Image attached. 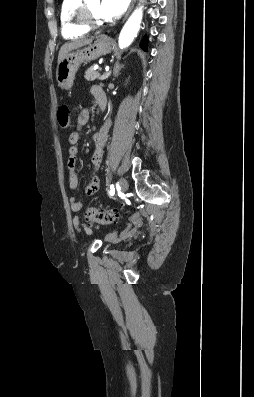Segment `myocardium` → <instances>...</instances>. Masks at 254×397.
Segmentation results:
<instances>
[{
  "label": "myocardium",
  "instance_id": "f54148a6",
  "mask_svg": "<svg viewBox=\"0 0 254 397\" xmlns=\"http://www.w3.org/2000/svg\"><path fill=\"white\" fill-rule=\"evenodd\" d=\"M77 23L88 31L97 30L105 26V22L97 20L90 11L87 3L82 1L76 10Z\"/></svg>",
  "mask_w": 254,
  "mask_h": 397
}]
</instances>
